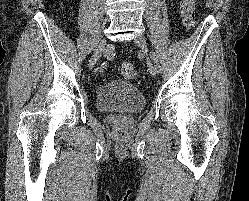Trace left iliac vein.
Masks as SVG:
<instances>
[{"label":"left iliac vein","mask_w":249,"mask_h":201,"mask_svg":"<svg viewBox=\"0 0 249 201\" xmlns=\"http://www.w3.org/2000/svg\"><path fill=\"white\" fill-rule=\"evenodd\" d=\"M134 42L141 48L144 54L148 53L147 42H146V38L144 35H138L135 38ZM148 68H149L151 75L155 76L158 74L157 69H156V64L154 63L152 58L148 60Z\"/></svg>","instance_id":"obj_1"}]
</instances>
